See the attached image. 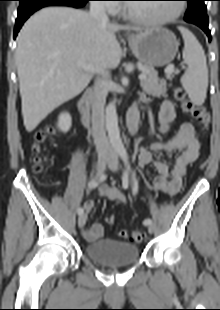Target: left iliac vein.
<instances>
[{
  "instance_id": "left-iliac-vein-1",
  "label": "left iliac vein",
  "mask_w": 220,
  "mask_h": 310,
  "mask_svg": "<svg viewBox=\"0 0 220 310\" xmlns=\"http://www.w3.org/2000/svg\"><path fill=\"white\" fill-rule=\"evenodd\" d=\"M109 168L113 171V172H116L119 168V161H118V157L117 155H113L111 158H110V162L108 164ZM148 227V232L150 234L154 233L155 231V226L150 223L147 225Z\"/></svg>"
}]
</instances>
